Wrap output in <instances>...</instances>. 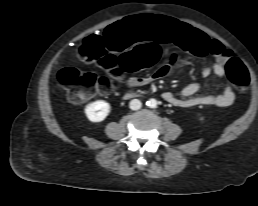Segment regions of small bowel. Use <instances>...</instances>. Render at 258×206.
Masks as SVG:
<instances>
[{"mask_svg":"<svg viewBox=\"0 0 258 206\" xmlns=\"http://www.w3.org/2000/svg\"><path fill=\"white\" fill-rule=\"evenodd\" d=\"M167 39V42H173L184 51L197 55L211 54L215 58V61L203 69L202 75L208 76L213 74L220 79L224 77L226 62L232 58L233 53L219 41L210 39L205 33L188 25H181L178 34L176 36H169ZM87 40L103 42L113 51H122L124 49L122 44L117 40L113 27H110L105 32L104 38L94 36ZM181 67L182 64L179 62L177 55L170 53L167 63L157 69L152 75L147 77H128L125 80V84L128 87L147 85L156 79L168 76L174 68ZM199 90L200 84L190 83L181 90L179 97L170 91L164 92L162 97L168 103L181 108L195 106L227 107L235 100V93L229 85L224 88L221 94L217 95H197Z\"/></svg>","mask_w":258,"mask_h":206,"instance_id":"obj_1","label":"small bowel"}]
</instances>
